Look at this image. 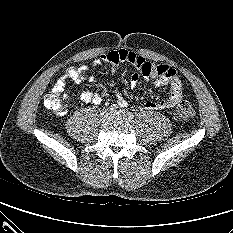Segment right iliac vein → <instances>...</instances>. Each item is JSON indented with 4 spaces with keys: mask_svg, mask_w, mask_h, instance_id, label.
Instances as JSON below:
<instances>
[{
    "mask_svg": "<svg viewBox=\"0 0 233 233\" xmlns=\"http://www.w3.org/2000/svg\"><path fill=\"white\" fill-rule=\"evenodd\" d=\"M100 116H101V119H102L103 121H107V120L111 119V117H112V112H111V110H109V109H104V110L101 112Z\"/></svg>",
    "mask_w": 233,
    "mask_h": 233,
    "instance_id": "right-iliac-vein-1",
    "label": "right iliac vein"
}]
</instances>
